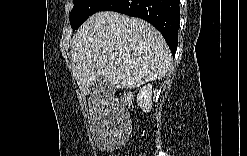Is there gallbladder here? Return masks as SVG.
<instances>
[{
    "mask_svg": "<svg viewBox=\"0 0 247 156\" xmlns=\"http://www.w3.org/2000/svg\"><path fill=\"white\" fill-rule=\"evenodd\" d=\"M94 90H104L106 93H110L114 91V87L104 77H98L90 85V91Z\"/></svg>",
    "mask_w": 247,
    "mask_h": 156,
    "instance_id": "gallbladder-1",
    "label": "gallbladder"
}]
</instances>
